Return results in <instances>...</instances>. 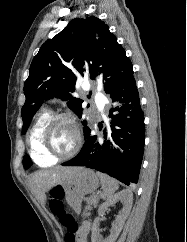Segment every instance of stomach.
Here are the masks:
<instances>
[{
	"mask_svg": "<svg viewBox=\"0 0 187 242\" xmlns=\"http://www.w3.org/2000/svg\"><path fill=\"white\" fill-rule=\"evenodd\" d=\"M99 184V178L93 170L78 167L61 186L64 189L65 200L75 212L79 213L84 195L93 193Z\"/></svg>",
	"mask_w": 187,
	"mask_h": 242,
	"instance_id": "stomach-1",
	"label": "stomach"
}]
</instances>
